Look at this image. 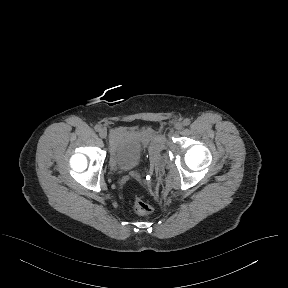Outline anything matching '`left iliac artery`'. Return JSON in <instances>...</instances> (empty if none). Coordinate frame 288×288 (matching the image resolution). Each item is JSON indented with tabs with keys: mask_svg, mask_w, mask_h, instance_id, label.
I'll list each match as a JSON object with an SVG mask.
<instances>
[{
	"mask_svg": "<svg viewBox=\"0 0 288 288\" xmlns=\"http://www.w3.org/2000/svg\"><path fill=\"white\" fill-rule=\"evenodd\" d=\"M190 123H191V121H190L189 118H186V119L183 120V125L184 126H188Z\"/></svg>",
	"mask_w": 288,
	"mask_h": 288,
	"instance_id": "1",
	"label": "left iliac artery"
}]
</instances>
